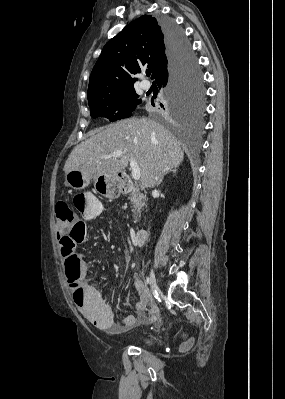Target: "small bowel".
Segmentation results:
<instances>
[{"label":"small bowel","mask_w":285,"mask_h":399,"mask_svg":"<svg viewBox=\"0 0 285 399\" xmlns=\"http://www.w3.org/2000/svg\"><path fill=\"white\" fill-rule=\"evenodd\" d=\"M103 211L102 203L92 194H88L87 203L81 213L79 221L83 230L87 232V221L95 220ZM66 270L77 273L78 282L83 290V300H78V290L70 287V295L82 315L96 327L121 334L131 329L149 324L158 319L159 313L139 276L134 277V285L139 293V300L134 307L135 314L123 317L119 322L115 321V315L108 303L105 302L99 290L87 281L88 266L82 257H75L70 264L65 263Z\"/></svg>","instance_id":"1"}]
</instances>
